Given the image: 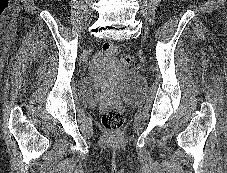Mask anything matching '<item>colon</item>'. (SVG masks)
<instances>
[{"mask_svg":"<svg viewBox=\"0 0 227 173\" xmlns=\"http://www.w3.org/2000/svg\"><path fill=\"white\" fill-rule=\"evenodd\" d=\"M103 51L108 56L117 55V48L112 43H106L103 46ZM119 60L125 66L131 68L135 66L133 59L128 55H121ZM101 122L107 130L118 131L123 126L124 114L117 108H107L102 113Z\"/></svg>","mask_w":227,"mask_h":173,"instance_id":"colon-1","label":"colon"}]
</instances>
